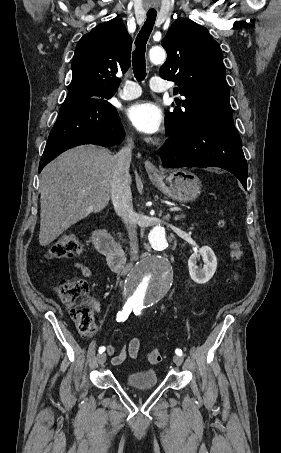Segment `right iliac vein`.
Masks as SVG:
<instances>
[{
	"instance_id": "1",
	"label": "right iliac vein",
	"mask_w": 281,
	"mask_h": 453,
	"mask_svg": "<svg viewBox=\"0 0 281 453\" xmlns=\"http://www.w3.org/2000/svg\"><path fill=\"white\" fill-rule=\"evenodd\" d=\"M106 359H107V358H106L105 354L102 353V355H99V356L97 357V362H98L100 365H105ZM100 365H99V366H100ZM99 366H98V367H99Z\"/></svg>"
}]
</instances>
